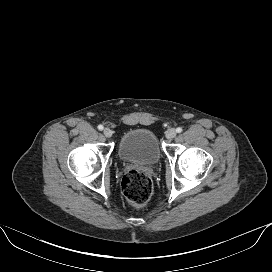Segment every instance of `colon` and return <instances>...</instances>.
I'll use <instances>...</instances> for the list:
<instances>
[{"label":"colon","instance_id":"obj_1","mask_svg":"<svg viewBox=\"0 0 272 272\" xmlns=\"http://www.w3.org/2000/svg\"><path fill=\"white\" fill-rule=\"evenodd\" d=\"M121 188L126 199L136 206H144L153 192L151 179L139 170H131L122 178Z\"/></svg>","mask_w":272,"mask_h":272}]
</instances>
